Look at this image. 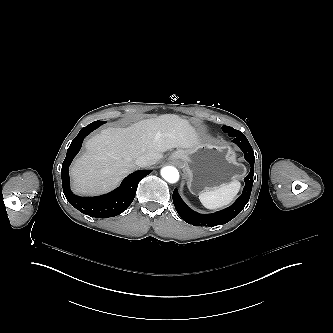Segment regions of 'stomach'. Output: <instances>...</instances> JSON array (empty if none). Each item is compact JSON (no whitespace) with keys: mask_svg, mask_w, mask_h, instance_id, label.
Masks as SVG:
<instances>
[{"mask_svg":"<svg viewBox=\"0 0 333 333\" xmlns=\"http://www.w3.org/2000/svg\"><path fill=\"white\" fill-rule=\"evenodd\" d=\"M169 159L182 169L187 187L193 195L214 190L243 177L241 170L244 165L237 162L236 153L229 145L202 141L194 149L177 148Z\"/></svg>","mask_w":333,"mask_h":333,"instance_id":"stomach-1","label":"stomach"}]
</instances>
